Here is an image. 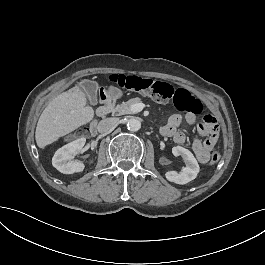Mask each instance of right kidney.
<instances>
[{
	"mask_svg": "<svg viewBox=\"0 0 265 265\" xmlns=\"http://www.w3.org/2000/svg\"><path fill=\"white\" fill-rule=\"evenodd\" d=\"M85 143L86 138L82 137L58 149L52 159V165L64 174L82 172L85 169V165L75 159V154L83 149ZM93 163L94 159H89L88 165Z\"/></svg>",
	"mask_w": 265,
	"mask_h": 265,
	"instance_id": "1",
	"label": "right kidney"
}]
</instances>
